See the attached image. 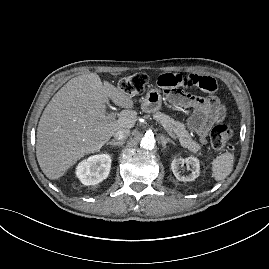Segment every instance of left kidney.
<instances>
[{
	"mask_svg": "<svg viewBox=\"0 0 269 269\" xmlns=\"http://www.w3.org/2000/svg\"><path fill=\"white\" fill-rule=\"evenodd\" d=\"M186 164L188 170L191 171L190 174L184 176L180 174V168L183 167V165ZM171 169L174 174V176L179 180L183 182H189L194 181L200 174V164L199 160L196 157H188V158H176L171 163Z\"/></svg>",
	"mask_w": 269,
	"mask_h": 269,
	"instance_id": "5707ae66",
	"label": "left kidney"
}]
</instances>
